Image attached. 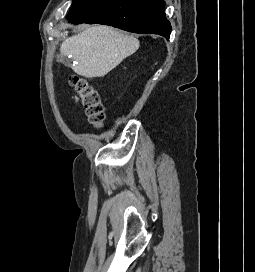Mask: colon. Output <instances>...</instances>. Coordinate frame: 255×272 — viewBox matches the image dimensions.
I'll list each match as a JSON object with an SVG mask.
<instances>
[{"mask_svg":"<svg viewBox=\"0 0 255 272\" xmlns=\"http://www.w3.org/2000/svg\"><path fill=\"white\" fill-rule=\"evenodd\" d=\"M76 102L82 106L88 121L101 127L105 120L104 107L97 89L83 77L74 76L70 79Z\"/></svg>","mask_w":255,"mask_h":272,"instance_id":"1","label":"colon"}]
</instances>
